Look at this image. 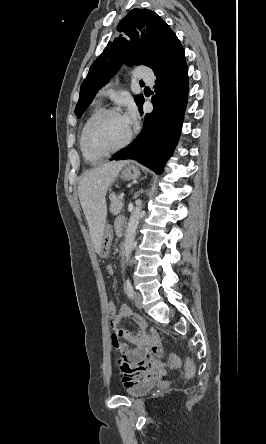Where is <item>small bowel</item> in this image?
Segmentation results:
<instances>
[{"label":"small bowel","mask_w":266,"mask_h":444,"mask_svg":"<svg viewBox=\"0 0 266 444\" xmlns=\"http://www.w3.org/2000/svg\"><path fill=\"white\" fill-rule=\"evenodd\" d=\"M117 235L123 231L122 220L115 225ZM109 274L114 273L111 265L107 266ZM131 320L138 326L137 332L119 327L122 320ZM113 333L111 343L119 353L118 363L122 372L123 385L128 388L144 383H154L166 374L165 364L160 360L162 344L156 330H147L141 316L133 313L127 306L119 308L117 314L110 321ZM126 340L127 343L121 341ZM129 344L131 346H129Z\"/></svg>","instance_id":"1"}]
</instances>
